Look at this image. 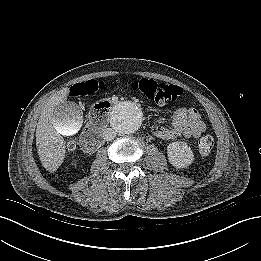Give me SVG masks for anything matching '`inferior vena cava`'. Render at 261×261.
<instances>
[{
	"mask_svg": "<svg viewBox=\"0 0 261 261\" xmlns=\"http://www.w3.org/2000/svg\"><path fill=\"white\" fill-rule=\"evenodd\" d=\"M116 136V132L112 128H106L103 131V138L106 141H112Z\"/></svg>",
	"mask_w": 261,
	"mask_h": 261,
	"instance_id": "602c4592",
	"label": "inferior vena cava"
}]
</instances>
